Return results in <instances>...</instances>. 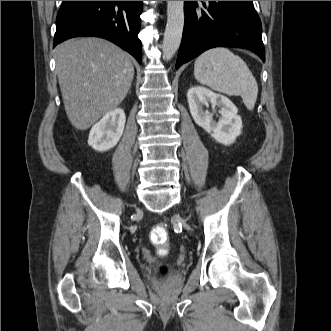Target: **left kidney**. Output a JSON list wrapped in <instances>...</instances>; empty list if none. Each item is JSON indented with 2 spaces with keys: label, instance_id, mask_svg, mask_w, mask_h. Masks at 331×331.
<instances>
[{
  "label": "left kidney",
  "instance_id": "5707ae66",
  "mask_svg": "<svg viewBox=\"0 0 331 331\" xmlns=\"http://www.w3.org/2000/svg\"><path fill=\"white\" fill-rule=\"evenodd\" d=\"M190 113L195 123L207 131L218 143L231 145L241 134L242 120L238 109L225 96L216 94L204 87L195 86L187 93ZM219 107L220 119L213 120V114L205 107Z\"/></svg>",
  "mask_w": 331,
  "mask_h": 331
}]
</instances>
